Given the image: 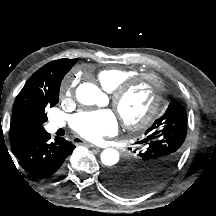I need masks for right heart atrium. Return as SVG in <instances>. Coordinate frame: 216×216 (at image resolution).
I'll return each instance as SVG.
<instances>
[{"label": "right heart atrium", "instance_id": "right-heart-atrium-1", "mask_svg": "<svg viewBox=\"0 0 216 216\" xmlns=\"http://www.w3.org/2000/svg\"><path fill=\"white\" fill-rule=\"evenodd\" d=\"M74 80L72 77H68L62 83V93L64 95H71L74 89Z\"/></svg>", "mask_w": 216, "mask_h": 216}]
</instances>
